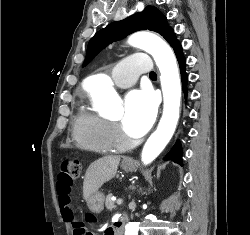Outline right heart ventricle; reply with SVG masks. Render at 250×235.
<instances>
[{"label":"right heart ventricle","mask_w":250,"mask_h":235,"mask_svg":"<svg viewBox=\"0 0 250 235\" xmlns=\"http://www.w3.org/2000/svg\"><path fill=\"white\" fill-rule=\"evenodd\" d=\"M73 135L84 150L98 153H112L120 150L122 144L111 135V125L87 103H80L73 121Z\"/></svg>","instance_id":"e07e8e85"}]
</instances>
